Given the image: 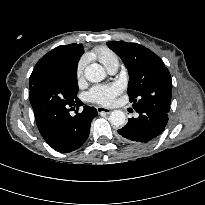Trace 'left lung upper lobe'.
Segmentation results:
<instances>
[{"mask_svg": "<svg viewBox=\"0 0 205 205\" xmlns=\"http://www.w3.org/2000/svg\"><path fill=\"white\" fill-rule=\"evenodd\" d=\"M107 46L122 59L128 69L127 93L133 108H154L168 113L172 83L163 61L137 43L110 41Z\"/></svg>", "mask_w": 205, "mask_h": 205, "instance_id": "left-lung-upper-lobe-1", "label": "left lung upper lobe"}]
</instances>
